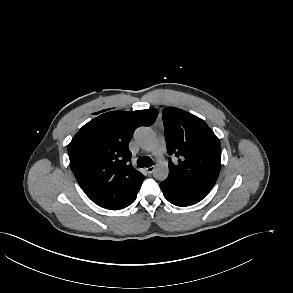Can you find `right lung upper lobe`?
I'll list each match as a JSON object with an SVG mask.
<instances>
[{
    "instance_id": "cb5924a9",
    "label": "right lung upper lobe",
    "mask_w": 293,
    "mask_h": 293,
    "mask_svg": "<svg viewBox=\"0 0 293 293\" xmlns=\"http://www.w3.org/2000/svg\"><path fill=\"white\" fill-rule=\"evenodd\" d=\"M156 109L111 111L85 124L68 145L70 167L80 187L97 205L110 210L132 204L144 176L134 169L128 144L136 128L150 126Z\"/></svg>"
}]
</instances>
